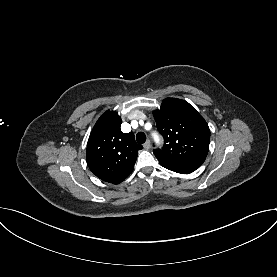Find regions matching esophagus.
<instances>
[{
  "mask_svg": "<svg viewBox=\"0 0 277 277\" xmlns=\"http://www.w3.org/2000/svg\"><path fill=\"white\" fill-rule=\"evenodd\" d=\"M143 147H144V149H146V150L150 149V147H151V142H150V140H147V141L143 144Z\"/></svg>",
  "mask_w": 277,
  "mask_h": 277,
  "instance_id": "obj_1",
  "label": "esophagus"
}]
</instances>
